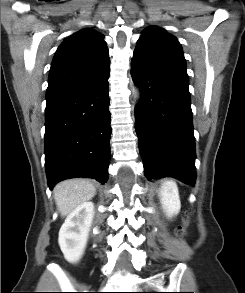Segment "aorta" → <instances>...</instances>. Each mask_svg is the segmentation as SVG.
<instances>
[{"mask_svg":"<svg viewBox=\"0 0 245 293\" xmlns=\"http://www.w3.org/2000/svg\"><path fill=\"white\" fill-rule=\"evenodd\" d=\"M134 94H135V98H136V99H139V97H140V92H139L138 89H135V90H134Z\"/></svg>","mask_w":245,"mask_h":293,"instance_id":"obj_1","label":"aorta"}]
</instances>
